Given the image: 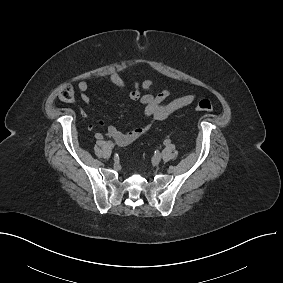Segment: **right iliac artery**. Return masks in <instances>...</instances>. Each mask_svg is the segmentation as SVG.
Returning a JSON list of instances; mask_svg holds the SVG:
<instances>
[{"instance_id": "obj_1", "label": "right iliac artery", "mask_w": 283, "mask_h": 283, "mask_svg": "<svg viewBox=\"0 0 283 283\" xmlns=\"http://www.w3.org/2000/svg\"><path fill=\"white\" fill-rule=\"evenodd\" d=\"M96 137L99 138V139L103 138V136L101 134H99V133L96 134Z\"/></svg>"}]
</instances>
